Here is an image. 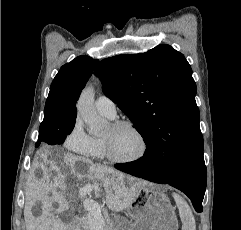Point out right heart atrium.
<instances>
[{"label":"right heart atrium","instance_id":"1","mask_svg":"<svg viewBox=\"0 0 241 230\" xmlns=\"http://www.w3.org/2000/svg\"><path fill=\"white\" fill-rule=\"evenodd\" d=\"M65 146L74 153L89 156L94 148V140L77 121L66 137Z\"/></svg>","mask_w":241,"mask_h":230}]
</instances>
